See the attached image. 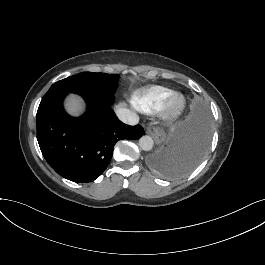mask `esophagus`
Instances as JSON below:
<instances>
[{
	"label": "esophagus",
	"instance_id": "obj_1",
	"mask_svg": "<svg viewBox=\"0 0 265 265\" xmlns=\"http://www.w3.org/2000/svg\"><path fill=\"white\" fill-rule=\"evenodd\" d=\"M146 132L151 135L157 143H161L165 138V131L158 127H147Z\"/></svg>",
	"mask_w": 265,
	"mask_h": 265
}]
</instances>
